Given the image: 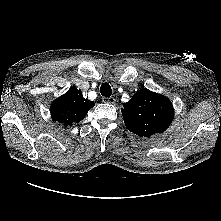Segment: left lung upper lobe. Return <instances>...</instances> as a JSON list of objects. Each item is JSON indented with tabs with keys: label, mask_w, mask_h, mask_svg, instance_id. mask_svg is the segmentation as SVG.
Here are the masks:
<instances>
[{
	"label": "left lung upper lobe",
	"mask_w": 221,
	"mask_h": 221,
	"mask_svg": "<svg viewBox=\"0 0 221 221\" xmlns=\"http://www.w3.org/2000/svg\"><path fill=\"white\" fill-rule=\"evenodd\" d=\"M123 106L126 127L139 136L149 137L165 131L174 117L171 102L148 89L137 91Z\"/></svg>",
	"instance_id": "obj_1"
}]
</instances>
